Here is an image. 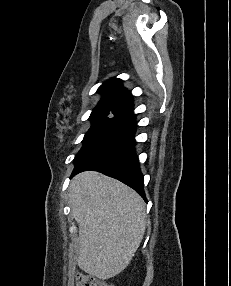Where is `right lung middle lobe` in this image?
I'll return each instance as SVG.
<instances>
[{
	"instance_id": "1",
	"label": "right lung middle lobe",
	"mask_w": 231,
	"mask_h": 286,
	"mask_svg": "<svg viewBox=\"0 0 231 286\" xmlns=\"http://www.w3.org/2000/svg\"><path fill=\"white\" fill-rule=\"evenodd\" d=\"M131 109L118 106H97L93 109L90 120L92 126L83 139V147L74 159L77 162L93 147L108 137L123 124L133 120Z\"/></svg>"
}]
</instances>
